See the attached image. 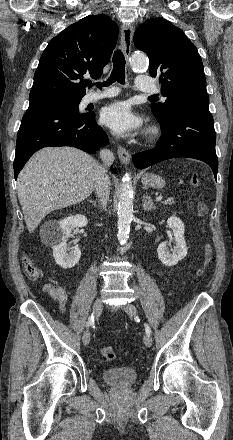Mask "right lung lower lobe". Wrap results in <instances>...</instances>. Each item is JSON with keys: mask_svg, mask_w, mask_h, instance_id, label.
Returning <instances> with one entry per match:
<instances>
[{"mask_svg": "<svg viewBox=\"0 0 233 440\" xmlns=\"http://www.w3.org/2000/svg\"><path fill=\"white\" fill-rule=\"evenodd\" d=\"M94 113L80 114L65 106L29 105L17 135L14 176L37 150L47 146H72L95 153L108 143ZM117 172L116 169H112Z\"/></svg>", "mask_w": 233, "mask_h": 440, "instance_id": "right-lung-lower-lobe-1", "label": "right lung lower lobe"}]
</instances>
